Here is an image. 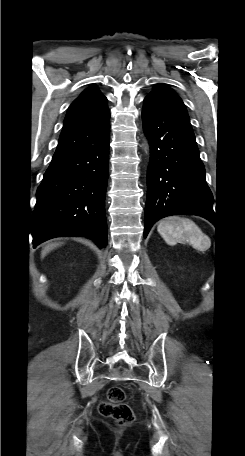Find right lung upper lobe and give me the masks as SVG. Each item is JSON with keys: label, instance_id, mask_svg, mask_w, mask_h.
I'll use <instances>...</instances> for the list:
<instances>
[{"label": "right lung upper lobe", "instance_id": "obj_1", "mask_svg": "<svg viewBox=\"0 0 245 456\" xmlns=\"http://www.w3.org/2000/svg\"><path fill=\"white\" fill-rule=\"evenodd\" d=\"M106 97L95 86L84 91L68 108L54 156L92 144L110 122Z\"/></svg>", "mask_w": 245, "mask_h": 456}]
</instances>
